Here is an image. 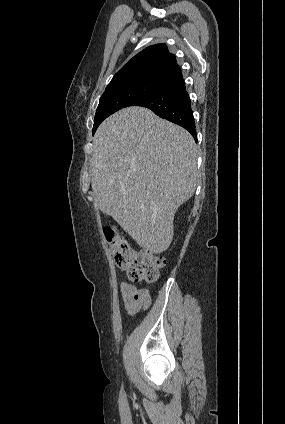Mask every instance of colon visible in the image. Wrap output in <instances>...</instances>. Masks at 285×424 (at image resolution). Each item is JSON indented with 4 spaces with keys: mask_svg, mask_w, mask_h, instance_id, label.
<instances>
[{
    "mask_svg": "<svg viewBox=\"0 0 285 424\" xmlns=\"http://www.w3.org/2000/svg\"><path fill=\"white\" fill-rule=\"evenodd\" d=\"M104 236L114 254L117 266L127 271L131 281L154 282L159 271L165 266V259L159 255L135 250L123 233L114 227H104Z\"/></svg>",
    "mask_w": 285,
    "mask_h": 424,
    "instance_id": "obj_1",
    "label": "colon"
}]
</instances>
